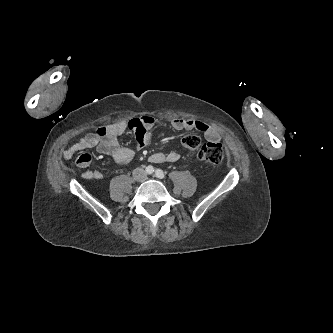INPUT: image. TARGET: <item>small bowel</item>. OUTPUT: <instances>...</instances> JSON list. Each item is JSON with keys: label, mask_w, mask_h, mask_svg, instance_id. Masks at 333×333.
<instances>
[{"label": "small bowel", "mask_w": 333, "mask_h": 333, "mask_svg": "<svg viewBox=\"0 0 333 333\" xmlns=\"http://www.w3.org/2000/svg\"><path fill=\"white\" fill-rule=\"evenodd\" d=\"M155 123L156 121L152 116L144 115L100 127L96 132L87 133L76 143L68 147L63 152V158L70 160L79 152L95 148L97 152L111 156L118 164H127L133 159L134 150L129 147L120 146L118 136L129 130L135 133L138 146L149 145L152 141L151 132ZM170 124L177 131L198 130L204 134L206 140L209 142L217 143L220 140L219 131L201 120L174 118ZM179 159L180 155L176 151H170L167 154L155 153L150 157V161L153 163L176 162ZM91 160V154L84 152L77 156L76 165L86 168ZM102 177V173L97 170H87L83 173V178L86 180H100Z\"/></svg>", "instance_id": "c3829d8e"}]
</instances>
